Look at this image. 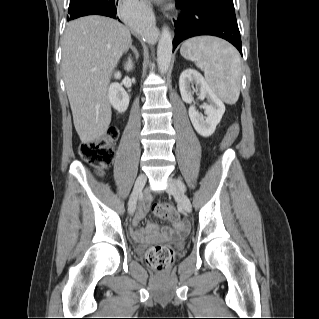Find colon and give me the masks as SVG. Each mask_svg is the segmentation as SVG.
Listing matches in <instances>:
<instances>
[{
  "label": "colon",
  "mask_w": 319,
  "mask_h": 319,
  "mask_svg": "<svg viewBox=\"0 0 319 319\" xmlns=\"http://www.w3.org/2000/svg\"><path fill=\"white\" fill-rule=\"evenodd\" d=\"M238 133L239 125L234 122L230 125L227 134L224 136L220 148L223 150L228 149L235 141ZM117 137L118 130L110 127L95 140L81 143L79 154L95 168H105L113 161L114 146ZM153 211L155 216L162 220L175 221L178 218L176 210L168 203L156 204ZM173 260L174 251L166 245L153 246L149 248L146 253L147 264L160 273L167 270Z\"/></svg>",
  "instance_id": "obj_1"
}]
</instances>
